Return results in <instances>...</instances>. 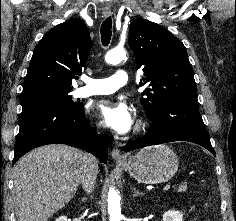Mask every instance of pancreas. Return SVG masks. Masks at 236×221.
Here are the masks:
<instances>
[{
    "instance_id": "pancreas-1",
    "label": "pancreas",
    "mask_w": 236,
    "mask_h": 221,
    "mask_svg": "<svg viewBox=\"0 0 236 221\" xmlns=\"http://www.w3.org/2000/svg\"><path fill=\"white\" fill-rule=\"evenodd\" d=\"M186 189H187V186L183 185L182 187L181 186L179 187L178 191L179 192H184V191H186Z\"/></svg>"
}]
</instances>
